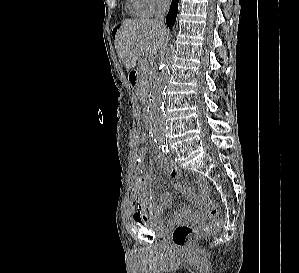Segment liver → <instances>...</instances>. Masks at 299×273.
<instances>
[{"instance_id": "1", "label": "liver", "mask_w": 299, "mask_h": 273, "mask_svg": "<svg viewBox=\"0 0 299 273\" xmlns=\"http://www.w3.org/2000/svg\"><path fill=\"white\" fill-rule=\"evenodd\" d=\"M167 31L152 19H132L125 21L115 36L116 52L127 70L135 67L139 57L146 53L154 58L161 49Z\"/></svg>"}]
</instances>
